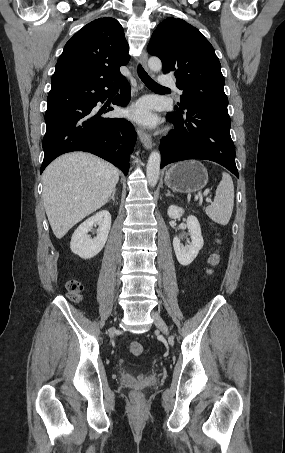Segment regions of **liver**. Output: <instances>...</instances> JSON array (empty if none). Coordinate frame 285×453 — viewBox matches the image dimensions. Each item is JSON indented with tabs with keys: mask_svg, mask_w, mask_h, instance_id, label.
Listing matches in <instances>:
<instances>
[{
	"mask_svg": "<svg viewBox=\"0 0 285 453\" xmlns=\"http://www.w3.org/2000/svg\"><path fill=\"white\" fill-rule=\"evenodd\" d=\"M43 204L56 238L101 208L119 180L112 164L85 152L55 159L43 172Z\"/></svg>",
	"mask_w": 285,
	"mask_h": 453,
	"instance_id": "liver-1",
	"label": "liver"
}]
</instances>
